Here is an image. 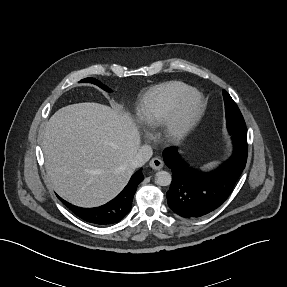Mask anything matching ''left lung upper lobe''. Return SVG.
Instances as JSON below:
<instances>
[{"mask_svg":"<svg viewBox=\"0 0 287 287\" xmlns=\"http://www.w3.org/2000/svg\"><path fill=\"white\" fill-rule=\"evenodd\" d=\"M223 97L225 103L227 126H246L239 108L237 107L231 96L225 90L223 91Z\"/></svg>","mask_w":287,"mask_h":287,"instance_id":"5c2ea615","label":"left lung upper lobe"}]
</instances>
